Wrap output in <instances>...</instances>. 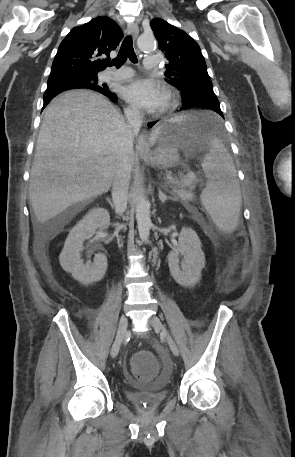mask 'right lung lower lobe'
<instances>
[{
    "label": "right lung lower lobe",
    "instance_id": "1",
    "mask_svg": "<svg viewBox=\"0 0 295 457\" xmlns=\"http://www.w3.org/2000/svg\"><path fill=\"white\" fill-rule=\"evenodd\" d=\"M74 88H88V89H92V90H95V91H98L102 94H104L105 96H107L110 100L112 101H116L117 99V96L115 94H113L112 92H110L108 90V87H99V88H96V87H87L85 86L83 83L81 82H72V81H54V82H50L48 83V87L47 89H60V90H68V89H74ZM52 99V98H51ZM51 99H44V107L47 105V103L51 100Z\"/></svg>",
    "mask_w": 295,
    "mask_h": 457
}]
</instances>
